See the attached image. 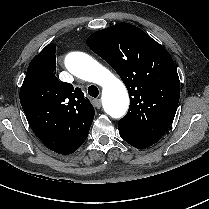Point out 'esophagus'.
<instances>
[{
  "instance_id": "34e87169",
  "label": "esophagus",
  "mask_w": 209,
  "mask_h": 209,
  "mask_svg": "<svg viewBox=\"0 0 209 209\" xmlns=\"http://www.w3.org/2000/svg\"><path fill=\"white\" fill-rule=\"evenodd\" d=\"M95 106L99 109V108H101V99L100 98H98V99H95Z\"/></svg>"
}]
</instances>
